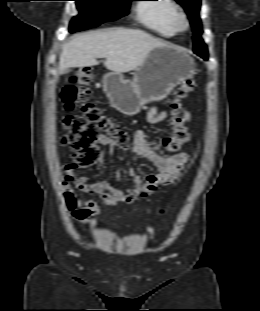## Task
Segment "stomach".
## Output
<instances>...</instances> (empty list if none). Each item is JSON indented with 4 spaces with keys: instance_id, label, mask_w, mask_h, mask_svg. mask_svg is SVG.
Returning <instances> with one entry per match:
<instances>
[{
    "instance_id": "0dacf381",
    "label": "stomach",
    "mask_w": 260,
    "mask_h": 311,
    "mask_svg": "<svg viewBox=\"0 0 260 311\" xmlns=\"http://www.w3.org/2000/svg\"><path fill=\"white\" fill-rule=\"evenodd\" d=\"M195 73V61L184 49L166 45L150 51L132 81L113 71L103 76L102 83L111 104L126 115H134L144 104L166 98Z\"/></svg>"
}]
</instances>
